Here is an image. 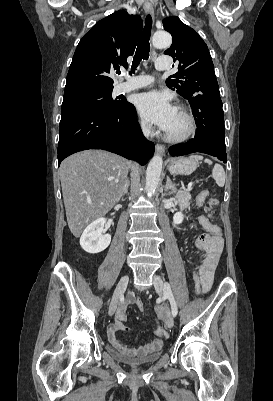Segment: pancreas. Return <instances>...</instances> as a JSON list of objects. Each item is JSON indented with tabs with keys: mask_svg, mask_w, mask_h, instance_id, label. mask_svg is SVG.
Masks as SVG:
<instances>
[{
	"mask_svg": "<svg viewBox=\"0 0 273 401\" xmlns=\"http://www.w3.org/2000/svg\"><path fill=\"white\" fill-rule=\"evenodd\" d=\"M175 198H177V201L179 203V207L180 209H187V207H189L190 203V198H191V194L190 192H188V190H179V192H177Z\"/></svg>",
	"mask_w": 273,
	"mask_h": 401,
	"instance_id": "cf45deb5",
	"label": "pancreas"
}]
</instances>
